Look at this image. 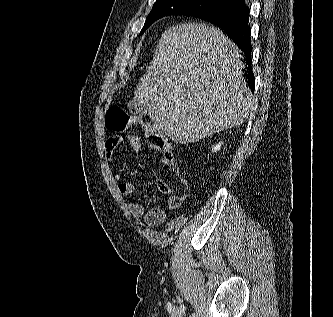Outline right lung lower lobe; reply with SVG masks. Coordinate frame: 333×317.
Wrapping results in <instances>:
<instances>
[{"mask_svg":"<svg viewBox=\"0 0 333 317\" xmlns=\"http://www.w3.org/2000/svg\"><path fill=\"white\" fill-rule=\"evenodd\" d=\"M249 11L245 0H239L225 4L217 9L197 14L195 17L208 21L222 29L244 52L247 64L246 81L251 91H254L255 77L251 67L252 46L250 41L251 29L248 24Z\"/></svg>","mask_w":333,"mask_h":317,"instance_id":"1","label":"right lung lower lobe"}]
</instances>
